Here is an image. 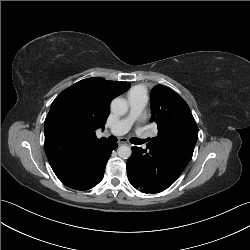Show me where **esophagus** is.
I'll return each mask as SVG.
<instances>
[{"mask_svg":"<svg viewBox=\"0 0 250 250\" xmlns=\"http://www.w3.org/2000/svg\"><path fill=\"white\" fill-rule=\"evenodd\" d=\"M118 144L119 145H126V144H128V141L126 138H121V139H119Z\"/></svg>","mask_w":250,"mask_h":250,"instance_id":"34e87169","label":"esophagus"}]
</instances>
